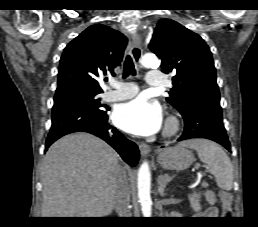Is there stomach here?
<instances>
[{
    "mask_svg": "<svg viewBox=\"0 0 258 227\" xmlns=\"http://www.w3.org/2000/svg\"><path fill=\"white\" fill-rule=\"evenodd\" d=\"M157 161L163 169L184 170L192 165L194 155L184 147H168L158 154Z\"/></svg>",
    "mask_w": 258,
    "mask_h": 227,
    "instance_id": "1",
    "label": "stomach"
}]
</instances>
